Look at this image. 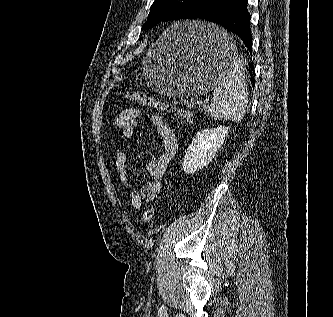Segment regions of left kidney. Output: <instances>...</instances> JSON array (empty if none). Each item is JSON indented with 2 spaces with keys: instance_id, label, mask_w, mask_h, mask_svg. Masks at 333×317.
<instances>
[{
  "instance_id": "1",
  "label": "left kidney",
  "mask_w": 333,
  "mask_h": 317,
  "mask_svg": "<svg viewBox=\"0 0 333 317\" xmlns=\"http://www.w3.org/2000/svg\"><path fill=\"white\" fill-rule=\"evenodd\" d=\"M228 127H216L199 131L187 148L182 168L187 174H194L204 168L215 157L222 146Z\"/></svg>"
}]
</instances>
